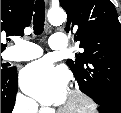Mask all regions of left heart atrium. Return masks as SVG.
I'll return each mask as SVG.
<instances>
[{
  "mask_svg": "<svg viewBox=\"0 0 121 113\" xmlns=\"http://www.w3.org/2000/svg\"><path fill=\"white\" fill-rule=\"evenodd\" d=\"M23 90L42 104H60L67 94L66 73L50 61L40 60L21 73Z\"/></svg>",
  "mask_w": 121,
  "mask_h": 113,
  "instance_id": "39dd6f15",
  "label": "left heart atrium"
}]
</instances>
